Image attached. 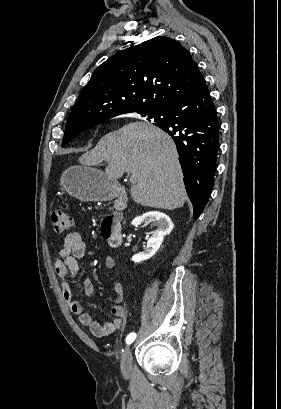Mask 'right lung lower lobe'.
Listing matches in <instances>:
<instances>
[{
    "label": "right lung lower lobe",
    "instance_id": "right-lung-lower-lobe-1",
    "mask_svg": "<svg viewBox=\"0 0 281 409\" xmlns=\"http://www.w3.org/2000/svg\"><path fill=\"white\" fill-rule=\"evenodd\" d=\"M153 118L177 146L187 194L198 218L212 191L219 140L216 109L203 76L186 94L153 112Z\"/></svg>",
    "mask_w": 281,
    "mask_h": 409
}]
</instances>
